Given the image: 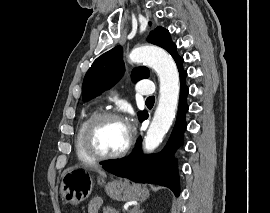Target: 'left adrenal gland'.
Returning <instances> with one entry per match:
<instances>
[{"instance_id":"obj_1","label":"left adrenal gland","mask_w":270,"mask_h":213,"mask_svg":"<svg viewBox=\"0 0 270 213\" xmlns=\"http://www.w3.org/2000/svg\"><path fill=\"white\" fill-rule=\"evenodd\" d=\"M142 212H143V209L142 210L140 209V205L135 206L130 210V213H142Z\"/></svg>"}]
</instances>
